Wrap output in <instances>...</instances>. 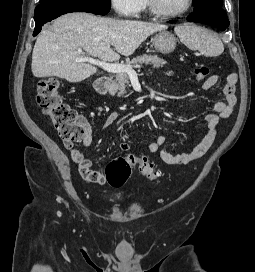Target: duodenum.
Returning <instances> with one entry per match:
<instances>
[{"label":"duodenum","mask_w":255,"mask_h":272,"mask_svg":"<svg viewBox=\"0 0 255 272\" xmlns=\"http://www.w3.org/2000/svg\"><path fill=\"white\" fill-rule=\"evenodd\" d=\"M112 84V79L108 76H101L95 81V89L96 91L102 95L107 96L109 94V89Z\"/></svg>","instance_id":"410a0bca"}]
</instances>
